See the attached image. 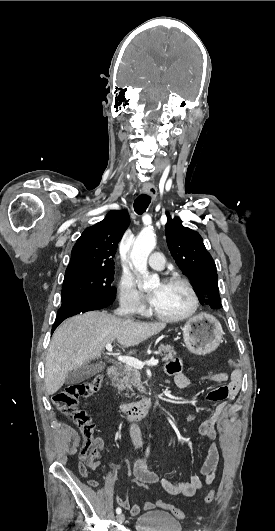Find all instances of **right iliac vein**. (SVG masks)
Listing matches in <instances>:
<instances>
[{
  "label": "right iliac vein",
  "mask_w": 275,
  "mask_h": 531,
  "mask_svg": "<svg viewBox=\"0 0 275 531\" xmlns=\"http://www.w3.org/2000/svg\"><path fill=\"white\" fill-rule=\"evenodd\" d=\"M116 519H117L118 522L123 523V521L125 519L124 514L117 515Z\"/></svg>",
  "instance_id": "1"
}]
</instances>
